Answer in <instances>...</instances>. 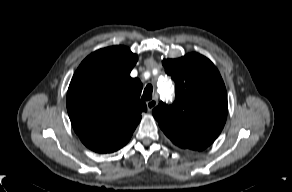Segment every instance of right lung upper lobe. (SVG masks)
<instances>
[{
    "label": "right lung upper lobe",
    "instance_id": "1",
    "mask_svg": "<svg viewBox=\"0 0 292 192\" xmlns=\"http://www.w3.org/2000/svg\"><path fill=\"white\" fill-rule=\"evenodd\" d=\"M138 60L129 48L112 46L90 54L76 70L67 92V111L80 140L98 153L127 144L147 110L142 83L131 78Z\"/></svg>",
    "mask_w": 292,
    "mask_h": 192
}]
</instances>
